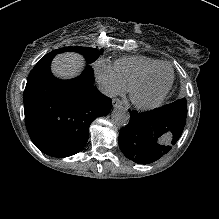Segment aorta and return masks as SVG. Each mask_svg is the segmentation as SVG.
I'll list each match as a JSON object with an SVG mask.
<instances>
[{"mask_svg": "<svg viewBox=\"0 0 219 219\" xmlns=\"http://www.w3.org/2000/svg\"><path fill=\"white\" fill-rule=\"evenodd\" d=\"M111 120L118 126H125L130 121L129 111L123 106L115 107L111 112Z\"/></svg>", "mask_w": 219, "mask_h": 219, "instance_id": "762f6f07", "label": "aorta"}]
</instances>
